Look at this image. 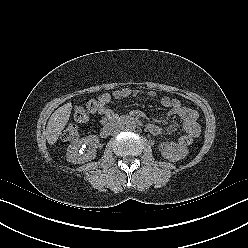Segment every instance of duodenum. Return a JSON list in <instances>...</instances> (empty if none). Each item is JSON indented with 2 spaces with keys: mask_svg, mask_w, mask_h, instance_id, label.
Masks as SVG:
<instances>
[{
  "mask_svg": "<svg viewBox=\"0 0 248 248\" xmlns=\"http://www.w3.org/2000/svg\"><path fill=\"white\" fill-rule=\"evenodd\" d=\"M138 123L140 124L141 121L135 118L134 116L124 115V116H116L114 117L109 123L104 125L101 129V135L103 137H108L110 133L117 128L118 126L125 125L128 123Z\"/></svg>",
  "mask_w": 248,
  "mask_h": 248,
  "instance_id": "duodenum-1",
  "label": "duodenum"
}]
</instances>
